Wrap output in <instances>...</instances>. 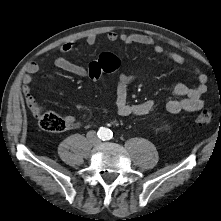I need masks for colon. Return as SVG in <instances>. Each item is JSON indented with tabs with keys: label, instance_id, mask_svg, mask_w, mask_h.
Listing matches in <instances>:
<instances>
[{
	"label": "colon",
	"instance_id": "5ec220e1",
	"mask_svg": "<svg viewBox=\"0 0 221 221\" xmlns=\"http://www.w3.org/2000/svg\"><path fill=\"white\" fill-rule=\"evenodd\" d=\"M120 64V59L117 56L104 53L98 60L89 64L90 78L98 79L103 73L114 72L119 69ZM33 113L40 127L47 132L59 133L68 129L66 120L52 111H45L38 105H35ZM213 120L214 113L207 108L202 109L196 117V121L199 124H209L213 122Z\"/></svg>",
	"mask_w": 221,
	"mask_h": 221
}]
</instances>
